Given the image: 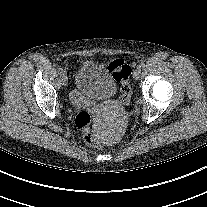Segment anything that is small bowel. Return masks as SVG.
<instances>
[{
	"instance_id": "obj_1",
	"label": "small bowel",
	"mask_w": 207,
	"mask_h": 207,
	"mask_svg": "<svg viewBox=\"0 0 207 207\" xmlns=\"http://www.w3.org/2000/svg\"><path fill=\"white\" fill-rule=\"evenodd\" d=\"M72 101L74 105L78 108L88 106V103L85 100H83L81 97H79L77 94L72 95Z\"/></svg>"
}]
</instances>
